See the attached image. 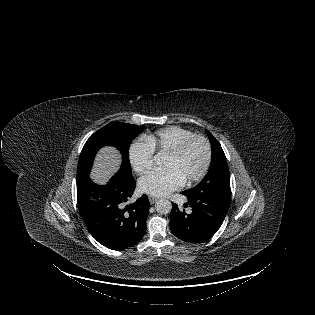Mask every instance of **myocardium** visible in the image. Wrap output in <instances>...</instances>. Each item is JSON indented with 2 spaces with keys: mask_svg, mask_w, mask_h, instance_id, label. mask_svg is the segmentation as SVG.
Segmentation results:
<instances>
[{
  "mask_svg": "<svg viewBox=\"0 0 315 315\" xmlns=\"http://www.w3.org/2000/svg\"><path fill=\"white\" fill-rule=\"evenodd\" d=\"M195 141H201L204 143L205 160H204V163H203L201 170L195 176L187 179L188 183L198 182L206 176V174L210 168V164H211V160H212V147H211L210 141L208 140L207 137H205L203 135L194 134V135L188 137L187 139H184L183 141H181L175 147H173L171 150L168 151L169 155L180 156Z\"/></svg>",
  "mask_w": 315,
  "mask_h": 315,
  "instance_id": "myocardium-1",
  "label": "myocardium"
}]
</instances>
